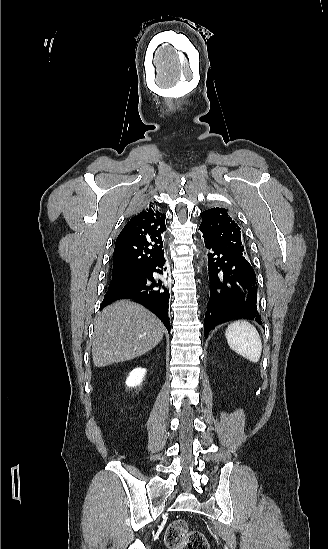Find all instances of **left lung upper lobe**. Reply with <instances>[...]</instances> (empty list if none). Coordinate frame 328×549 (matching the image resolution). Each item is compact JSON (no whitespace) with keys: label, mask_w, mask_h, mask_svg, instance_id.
<instances>
[{"label":"left lung upper lobe","mask_w":328,"mask_h":549,"mask_svg":"<svg viewBox=\"0 0 328 549\" xmlns=\"http://www.w3.org/2000/svg\"><path fill=\"white\" fill-rule=\"evenodd\" d=\"M200 216L202 223L199 229L203 233V238L245 258L240 227L232 220L226 209L211 208L202 212Z\"/></svg>","instance_id":"5c2ea615"}]
</instances>
